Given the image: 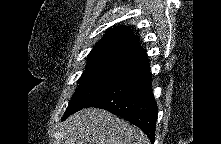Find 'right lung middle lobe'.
<instances>
[{
    "instance_id": "obj_1",
    "label": "right lung middle lobe",
    "mask_w": 221,
    "mask_h": 144,
    "mask_svg": "<svg viewBox=\"0 0 221 144\" xmlns=\"http://www.w3.org/2000/svg\"><path fill=\"white\" fill-rule=\"evenodd\" d=\"M145 57L110 52L88 56V64L79 79V86L73 94L63 119L87 106L98 95L117 84Z\"/></svg>"
}]
</instances>
